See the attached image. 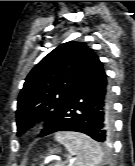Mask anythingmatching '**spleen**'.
<instances>
[{"mask_svg":"<svg viewBox=\"0 0 135 166\" xmlns=\"http://www.w3.org/2000/svg\"><path fill=\"white\" fill-rule=\"evenodd\" d=\"M55 140L75 156L72 166H99L103 161L104 153L100 144L85 134L58 132Z\"/></svg>","mask_w":135,"mask_h":166,"instance_id":"3e777b00","label":"spleen"}]
</instances>
